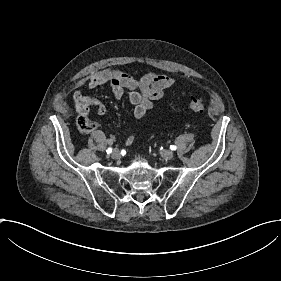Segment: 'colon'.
Here are the masks:
<instances>
[{"mask_svg":"<svg viewBox=\"0 0 281 281\" xmlns=\"http://www.w3.org/2000/svg\"><path fill=\"white\" fill-rule=\"evenodd\" d=\"M190 110L194 113H204L207 109V103L203 99H193L189 104ZM78 128L81 131H89L91 128V124L86 119H81L78 121Z\"/></svg>","mask_w":281,"mask_h":281,"instance_id":"colon-1","label":"colon"}]
</instances>
